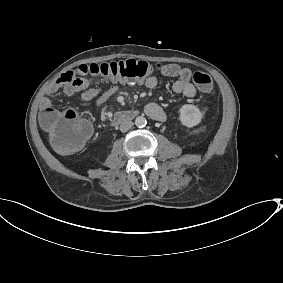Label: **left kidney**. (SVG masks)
Segmentation results:
<instances>
[{
	"label": "left kidney",
	"instance_id": "left-kidney-1",
	"mask_svg": "<svg viewBox=\"0 0 283 283\" xmlns=\"http://www.w3.org/2000/svg\"><path fill=\"white\" fill-rule=\"evenodd\" d=\"M203 114L195 106L191 104H185L180 108V121L187 127H193L198 125L202 120Z\"/></svg>",
	"mask_w": 283,
	"mask_h": 283
}]
</instances>
